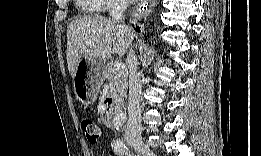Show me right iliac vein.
<instances>
[{
    "label": "right iliac vein",
    "mask_w": 261,
    "mask_h": 156,
    "mask_svg": "<svg viewBox=\"0 0 261 156\" xmlns=\"http://www.w3.org/2000/svg\"><path fill=\"white\" fill-rule=\"evenodd\" d=\"M134 149L139 152L143 156H154L152 150H150L144 143L142 142H134L133 143Z\"/></svg>",
    "instance_id": "63e3f726"
}]
</instances>
